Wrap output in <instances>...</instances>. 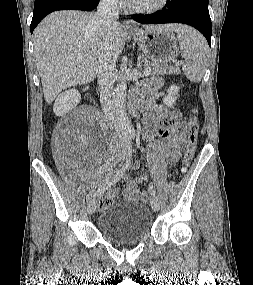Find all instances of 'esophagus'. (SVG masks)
Segmentation results:
<instances>
[{"label": "esophagus", "mask_w": 253, "mask_h": 285, "mask_svg": "<svg viewBox=\"0 0 253 285\" xmlns=\"http://www.w3.org/2000/svg\"><path fill=\"white\" fill-rule=\"evenodd\" d=\"M123 25H124V28L127 30H136L137 29L136 24L131 20H125Z\"/></svg>", "instance_id": "obj_1"}]
</instances>
